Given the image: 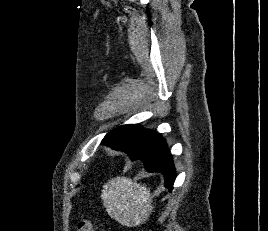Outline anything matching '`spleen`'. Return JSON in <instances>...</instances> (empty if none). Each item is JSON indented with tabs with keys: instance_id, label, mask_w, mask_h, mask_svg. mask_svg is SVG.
<instances>
[{
	"instance_id": "spleen-1",
	"label": "spleen",
	"mask_w": 268,
	"mask_h": 231,
	"mask_svg": "<svg viewBox=\"0 0 268 231\" xmlns=\"http://www.w3.org/2000/svg\"><path fill=\"white\" fill-rule=\"evenodd\" d=\"M101 199L109 216L128 227L145 223L153 210L150 190L125 177L109 180Z\"/></svg>"
}]
</instances>
